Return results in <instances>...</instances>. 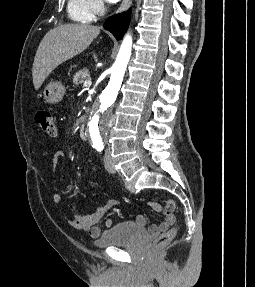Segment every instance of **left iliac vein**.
Masks as SVG:
<instances>
[{
    "mask_svg": "<svg viewBox=\"0 0 255 287\" xmlns=\"http://www.w3.org/2000/svg\"><path fill=\"white\" fill-rule=\"evenodd\" d=\"M104 165H105L106 170L109 173H115L116 172V168H115L114 163L111 159L110 149L107 151V154L105 156Z\"/></svg>",
    "mask_w": 255,
    "mask_h": 287,
    "instance_id": "4c4485c4",
    "label": "left iliac vein"
}]
</instances>
